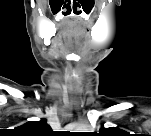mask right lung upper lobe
Returning a JSON list of instances; mask_svg holds the SVG:
<instances>
[{"mask_svg":"<svg viewBox=\"0 0 151 136\" xmlns=\"http://www.w3.org/2000/svg\"><path fill=\"white\" fill-rule=\"evenodd\" d=\"M50 126L46 119L30 121L15 128V132L23 135L44 136L49 133Z\"/></svg>","mask_w":151,"mask_h":136,"instance_id":"right-lung-upper-lobe-1","label":"right lung upper lobe"}]
</instances>
